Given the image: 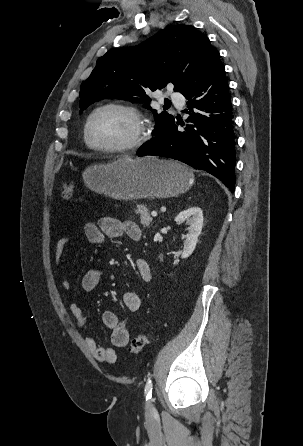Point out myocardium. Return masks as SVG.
I'll use <instances>...</instances> for the list:
<instances>
[{
	"label": "myocardium",
	"mask_w": 303,
	"mask_h": 446,
	"mask_svg": "<svg viewBox=\"0 0 303 446\" xmlns=\"http://www.w3.org/2000/svg\"><path fill=\"white\" fill-rule=\"evenodd\" d=\"M107 109H115L119 111H123L127 114H129L136 125V130L133 135V137L127 141L124 144L118 145V146H99L96 145L90 136V126L93 118L101 111L107 110ZM147 122L145 120V117L143 113L136 107L128 104H122V103H106L103 104L97 108H95L90 115L88 116L85 127H84V139L88 147H90L93 150L99 151V152H106V153H120V152H126L133 150L140 145H142L146 139L147 136Z\"/></svg>",
	"instance_id": "myocardium-1"
}]
</instances>
